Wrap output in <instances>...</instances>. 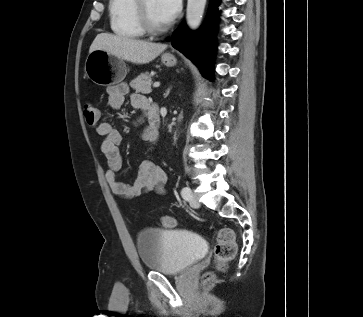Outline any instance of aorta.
Here are the masks:
<instances>
[{"label":"aorta","instance_id":"762f6f07","mask_svg":"<svg viewBox=\"0 0 363 317\" xmlns=\"http://www.w3.org/2000/svg\"><path fill=\"white\" fill-rule=\"evenodd\" d=\"M206 0H188L186 20L190 29L196 30L201 23Z\"/></svg>","mask_w":363,"mask_h":317}]
</instances>
